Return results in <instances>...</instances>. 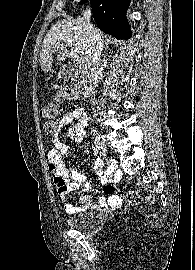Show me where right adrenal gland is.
I'll return each instance as SVG.
<instances>
[{
    "mask_svg": "<svg viewBox=\"0 0 195 270\" xmlns=\"http://www.w3.org/2000/svg\"><path fill=\"white\" fill-rule=\"evenodd\" d=\"M107 50H108V44L106 43V46L104 47V52H103L104 57H106Z\"/></svg>",
    "mask_w": 195,
    "mask_h": 270,
    "instance_id": "1",
    "label": "right adrenal gland"
}]
</instances>
